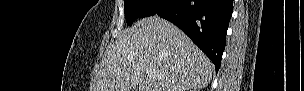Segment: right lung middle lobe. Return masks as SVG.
Listing matches in <instances>:
<instances>
[{"label":"right lung middle lobe","instance_id":"obj_1","mask_svg":"<svg viewBox=\"0 0 304 91\" xmlns=\"http://www.w3.org/2000/svg\"><path fill=\"white\" fill-rule=\"evenodd\" d=\"M169 0H124L126 22L131 26L135 19L155 15Z\"/></svg>","mask_w":304,"mask_h":91}]
</instances>
